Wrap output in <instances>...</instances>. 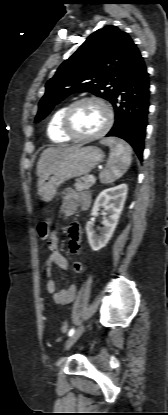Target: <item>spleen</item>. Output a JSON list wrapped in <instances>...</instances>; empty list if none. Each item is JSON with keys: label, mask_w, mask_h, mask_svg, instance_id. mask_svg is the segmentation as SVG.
Returning <instances> with one entry per match:
<instances>
[{"label": "spleen", "mask_w": 168, "mask_h": 415, "mask_svg": "<svg viewBox=\"0 0 168 415\" xmlns=\"http://www.w3.org/2000/svg\"><path fill=\"white\" fill-rule=\"evenodd\" d=\"M101 144L110 147V157L106 168L100 172L99 178L102 184H111L122 177L129 168L132 160L131 147L121 139L106 138Z\"/></svg>", "instance_id": "3e777b00"}]
</instances>
